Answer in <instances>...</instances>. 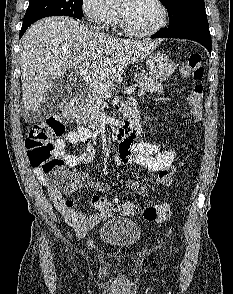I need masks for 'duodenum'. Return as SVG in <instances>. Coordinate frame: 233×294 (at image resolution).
Here are the masks:
<instances>
[{"label": "duodenum", "instance_id": "duodenum-1", "mask_svg": "<svg viewBox=\"0 0 233 294\" xmlns=\"http://www.w3.org/2000/svg\"><path fill=\"white\" fill-rule=\"evenodd\" d=\"M64 117L76 124H81V116L78 108V100L71 99L64 108ZM140 129L138 112L133 105L124 107V121L112 133V138L117 142H132L138 136Z\"/></svg>", "mask_w": 233, "mask_h": 294}]
</instances>
